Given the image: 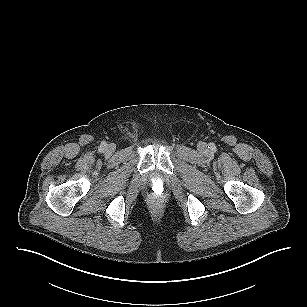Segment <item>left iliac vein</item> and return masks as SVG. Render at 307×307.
Returning <instances> with one entry per match:
<instances>
[{"instance_id": "1", "label": "left iliac vein", "mask_w": 307, "mask_h": 307, "mask_svg": "<svg viewBox=\"0 0 307 307\" xmlns=\"http://www.w3.org/2000/svg\"><path fill=\"white\" fill-rule=\"evenodd\" d=\"M199 149L201 152H206L207 150V145L205 143H201L199 146Z\"/></svg>"}]
</instances>
